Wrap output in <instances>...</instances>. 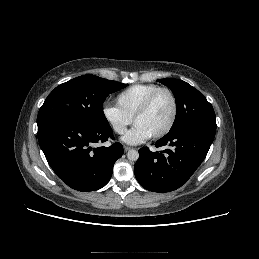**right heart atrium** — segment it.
I'll return each instance as SVG.
<instances>
[{
	"label": "right heart atrium",
	"mask_w": 259,
	"mask_h": 259,
	"mask_svg": "<svg viewBox=\"0 0 259 259\" xmlns=\"http://www.w3.org/2000/svg\"><path fill=\"white\" fill-rule=\"evenodd\" d=\"M102 115L108 125L116 134H123L132 123V118L126 115L118 106L105 104L102 107Z\"/></svg>",
	"instance_id": "1"
}]
</instances>
